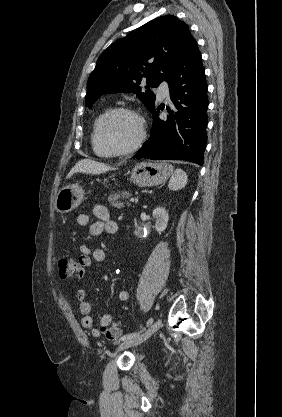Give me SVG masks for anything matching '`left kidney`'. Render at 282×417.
<instances>
[{
  "mask_svg": "<svg viewBox=\"0 0 282 417\" xmlns=\"http://www.w3.org/2000/svg\"><path fill=\"white\" fill-rule=\"evenodd\" d=\"M152 217L156 219V231H158V233H162V231H165L169 219L168 213H166L165 206H156V209H154L152 213Z\"/></svg>",
  "mask_w": 282,
  "mask_h": 417,
  "instance_id": "1",
  "label": "left kidney"
}]
</instances>
